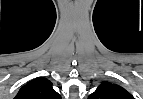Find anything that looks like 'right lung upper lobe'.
I'll return each instance as SVG.
<instances>
[{"instance_id":"1","label":"right lung upper lobe","mask_w":143,"mask_h":99,"mask_svg":"<svg viewBox=\"0 0 143 99\" xmlns=\"http://www.w3.org/2000/svg\"><path fill=\"white\" fill-rule=\"evenodd\" d=\"M14 99H61V96L49 80L38 77L22 86Z\"/></svg>"}]
</instances>
